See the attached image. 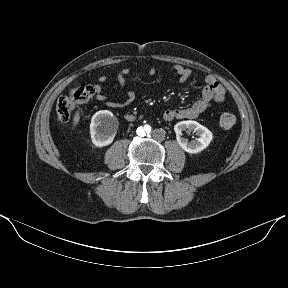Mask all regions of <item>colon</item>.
I'll return each instance as SVG.
<instances>
[{
	"label": "colon",
	"mask_w": 288,
	"mask_h": 288,
	"mask_svg": "<svg viewBox=\"0 0 288 288\" xmlns=\"http://www.w3.org/2000/svg\"><path fill=\"white\" fill-rule=\"evenodd\" d=\"M95 94L94 87L90 85H79L72 88L67 94L62 95L56 104L58 119L66 123L70 120L74 108L82 103L88 102ZM235 124V117L231 113H223L220 116V125L224 129H230Z\"/></svg>",
	"instance_id": "5ec220e1"
}]
</instances>
